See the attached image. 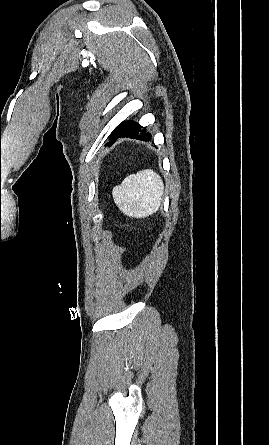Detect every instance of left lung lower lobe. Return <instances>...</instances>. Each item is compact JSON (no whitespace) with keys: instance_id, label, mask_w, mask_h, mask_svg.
I'll return each instance as SVG.
<instances>
[{"instance_id":"obj_1","label":"left lung lower lobe","mask_w":269,"mask_h":445,"mask_svg":"<svg viewBox=\"0 0 269 445\" xmlns=\"http://www.w3.org/2000/svg\"><path fill=\"white\" fill-rule=\"evenodd\" d=\"M118 137H129L132 139L146 141L151 138V134L138 123L128 121L123 122L113 130L110 136V141L106 145H111Z\"/></svg>"}]
</instances>
